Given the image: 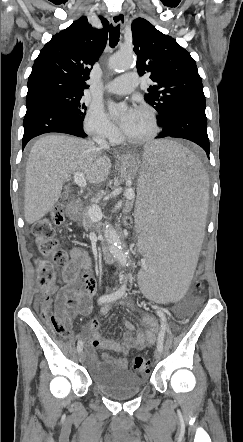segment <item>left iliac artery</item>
Instances as JSON below:
<instances>
[{
  "label": "left iliac artery",
  "mask_w": 243,
  "mask_h": 442,
  "mask_svg": "<svg viewBox=\"0 0 243 442\" xmlns=\"http://www.w3.org/2000/svg\"><path fill=\"white\" fill-rule=\"evenodd\" d=\"M157 315L159 316L160 323H161L160 331H159L158 339H157V349L162 352L164 335H165V331L167 328V320H166L165 314L161 310H157Z\"/></svg>",
  "instance_id": "44dca946"
}]
</instances>
